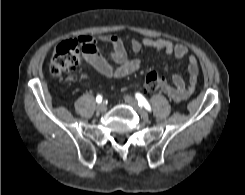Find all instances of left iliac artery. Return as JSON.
Segmentation results:
<instances>
[{
    "instance_id": "1",
    "label": "left iliac artery",
    "mask_w": 245,
    "mask_h": 195,
    "mask_svg": "<svg viewBox=\"0 0 245 195\" xmlns=\"http://www.w3.org/2000/svg\"><path fill=\"white\" fill-rule=\"evenodd\" d=\"M136 98L138 100V105L140 107H144L145 109H147L148 111H151V106L150 104L148 103V101L145 99V97L140 94V93H136Z\"/></svg>"
}]
</instances>
